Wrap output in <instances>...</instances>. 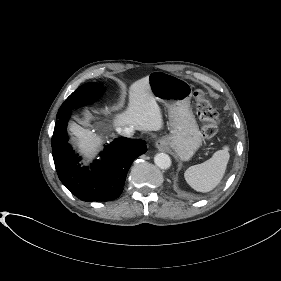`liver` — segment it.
<instances>
[{"instance_id":"6515ba94","label":"liver","mask_w":281,"mask_h":281,"mask_svg":"<svg viewBox=\"0 0 281 281\" xmlns=\"http://www.w3.org/2000/svg\"><path fill=\"white\" fill-rule=\"evenodd\" d=\"M117 127H131L139 131H158L163 127L159 105L149 86L148 77L134 82L129 88L127 110L114 121ZM69 130L76 138V145L87 159H91L101 148L100 136L76 123H71Z\"/></svg>"}]
</instances>
